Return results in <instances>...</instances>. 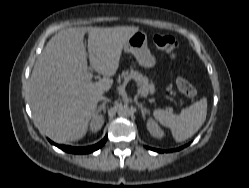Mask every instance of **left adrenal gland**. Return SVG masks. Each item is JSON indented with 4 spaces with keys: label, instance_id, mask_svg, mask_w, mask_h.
I'll return each instance as SVG.
<instances>
[{
    "label": "left adrenal gland",
    "instance_id": "left-adrenal-gland-1",
    "mask_svg": "<svg viewBox=\"0 0 249 188\" xmlns=\"http://www.w3.org/2000/svg\"><path fill=\"white\" fill-rule=\"evenodd\" d=\"M136 105L141 109V112H142V116H143V118H144V120H145V115L146 114H149V111L146 109V108H144L140 103H136Z\"/></svg>",
    "mask_w": 249,
    "mask_h": 188
}]
</instances>
